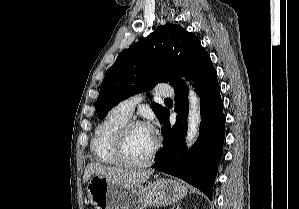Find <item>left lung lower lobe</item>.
I'll list each match as a JSON object with an SVG mask.
<instances>
[{
	"label": "left lung lower lobe",
	"mask_w": 299,
	"mask_h": 209,
	"mask_svg": "<svg viewBox=\"0 0 299 209\" xmlns=\"http://www.w3.org/2000/svg\"><path fill=\"white\" fill-rule=\"evenodd\" d=\"M191 79L201 98L199 138L191 150L186 151L188 100L187 88L183 83L174 87L176 123L171 127L168 111L162 121L164 148L157 153L156 163L152 168L183 179L211 198L218 162L223 154L225 117L217 73L210 58Z\"/></svg>",
	"instance_id": "0a47b994"
}]
</instances>
